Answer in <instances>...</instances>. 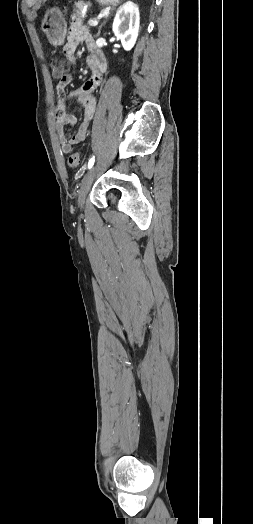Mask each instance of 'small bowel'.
I'll return each mask as SVG.
<instances>
[{
    "instance_id": "c3829d8e",
    "label": "small bowel",
    "mask_w": 253,
    "mask_h": 524,
    "mask_svg": "<svg viewBox=\"0 0 253 524\" xmlns=\"http://www.w3.org/2000/svg\"><path fill=\"white\" fill-rule=\"evenodd\" d=\"M79 45H84L88 50L86 62L91 70V75L82 86L67 93V84L77 74L76 68L78 63L76 61L75 53ZM64 52L66 55L65 63L67 64L68 69L61 74V81H59L56 86V131L61 150L63 153L67 154L71 151L74 144L84 141L87 137L89 126L94 117L97 106L95 90L101 84L103 75L107 71V61L102 52L95 45L91 32L77 19L73 20L71 23ZM68 97L75 98L83 108V118L79 128L69 139L64 133V128L66 126H74L77 123V118L75 115L67 112L66 102Z\"/></svg>"
}]
</instances>
